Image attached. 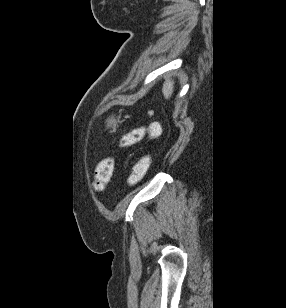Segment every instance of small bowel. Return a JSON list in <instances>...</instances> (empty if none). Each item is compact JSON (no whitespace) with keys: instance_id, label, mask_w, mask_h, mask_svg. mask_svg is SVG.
<instances>
[{"instance_id":"1","label":"small bowel","mask_w":286,"mask_h":308,"mask_svg":"<svg viewBox=\"0 0 286 308\" xmlns=\"http://www.w3.org/2000/svg\"><path fill=\"white\" fill-rule=\"evenodd\" d=\"M153 124H157L156 122H154V123H151V124H149L148 126H151V125H153ZM157 135H152L151 137H156Z\"/></svg>"}]
</instances>
